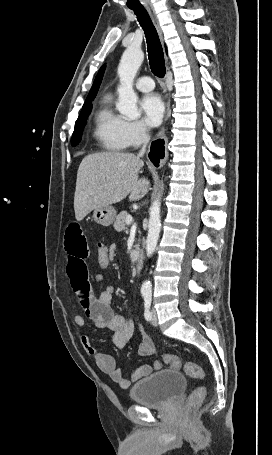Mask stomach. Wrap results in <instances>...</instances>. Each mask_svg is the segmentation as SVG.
Here are the masks:
<instances>
[{"instance_id":"stomach-1","label":"stomach","mask_w":272,"mask_h":455,"mask_svg":"<svg viewBox=\"0 0 272 455\" xmlns=\"http://www.w3.org/2000/svg\"><path fill=\"white\" fill-rule=\"evenodd\" d=\"M116 217V211L112 206H106L94 209L93 218L94 220L103 226L111 225Z\"/></svg>"}]
</instances>
